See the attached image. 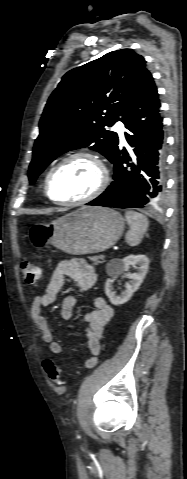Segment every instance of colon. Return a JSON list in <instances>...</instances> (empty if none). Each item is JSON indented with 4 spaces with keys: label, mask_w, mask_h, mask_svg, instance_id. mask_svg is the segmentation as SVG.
Masks as SVG:
<instances>
[{
    "label": "colon",
    "mask_w": 187,
    "mask_h": 479,
    "mask_svg": "<svg viewBox=\"0 0 187 479\" xmlns=\"http://www.w3.org/2000/svg\"><path fill=\"white\" fill-rule=\"evenodd\" d=\"M20 269L22 272L23 280L27 284H34L41 278V267L29 259H23L20 262ZM43 365L46 374L53 383L57 385H62L64 383L62 379L63 370L60 366H58L52 360H45L43 362Z\"/></svg>",
    "instance_id": "obj_1"
}]
</instances>
